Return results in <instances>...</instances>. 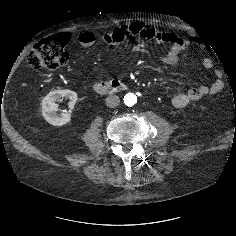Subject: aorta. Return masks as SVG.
<instances>
[{"instance_id":"aorta-1","label":"aorta","mask_w":236,"mask_h":236,"mask_svg":"<svg viewBox=\"0 0 236 236\" xmlns=\"http://www.w3.org/2000/svg\"><path fill=\"white\" fill-rule=\"evenodd\" d=\"M137 103V96L133 93H127L124 96V104L126 106H134Z\"/></svg>"}]
</instances>
